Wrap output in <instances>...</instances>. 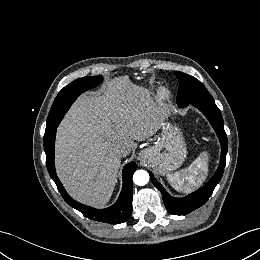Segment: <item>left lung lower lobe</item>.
<instances>
[{
  "label": "left lung lower lobe",
  "mask_w": 260,
  "mask_h": 260,
  "mask_svg": "<svg viewBox=\"0 0 260 260\" xmlns=\"http://www.w3.org/2000/svg\"><path fill=\"white\" fill-rule=\"evenodd\" d=\"M193 105L207 117L216 131L222 147L221 159L219 167L211 180L204 187L184 198L171 197L163 189L161 184L154 179L152 173L150 172L151 181L161 191L166 208L175 215L188 214L202 206L209 199L214 188L219 183L223 175L226 161L227 137L224 131V123L219 109L215 103L194 102Z\"/></svg>",
  "instance_id": "obj_1"
}]
</instances>
